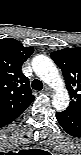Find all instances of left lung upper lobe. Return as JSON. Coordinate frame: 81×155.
<instances>
[{
    "label": "left lung upper lobe",
    "instance_id": "left-lung-upper-lobe-1",
    "mask_svg": "<svg viewBox=\"0 0 81 155\" xmlns=\"http://www.w3.org/2000/svg\"><path fill=\"white\" fill-rule=\"evenodd\" d=\"M52 59L62 70L65 78L67 89L72 98L68 108V112L80 115V91H81V59L76 48H65L54 51L51 54Z\"/></svg>",
    "mask_w": 81,
    "mask_h": 155
}]
</instances>
